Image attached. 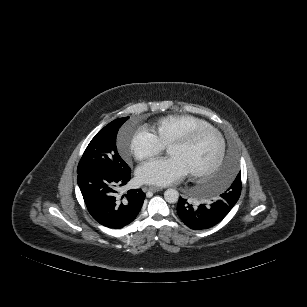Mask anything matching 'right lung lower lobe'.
Segmentation results:
<instances>
[{
    "instance_id": "obj_1",
    "label": "right lung lower lobe",
    "mask_w": 307,
    "mask_h": 307,
    "mask_svg": "<svg viewBox=\"0 0 307 307\" xmlns=\"http://www.w3.org/2000/svg\"><path fill=\"white\" fill-rule=\"evenodd\" d=\"M130 172L117 175L96 170L78 174L77 181L86 207L103 226L119 229L138 215L145 199L141 189L129 190L121 197L116 195L117 189L130 180Z\"/></svg>"
}]
</instances>
